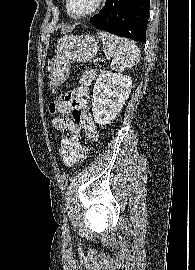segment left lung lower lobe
Wrapping results in <instances>:
<instances>
[{"instance_id":"left-lung-lower-lobe-1","label":"left lung lower lobe","mask_w":195,"mask_h":270,"mask_svg":"<svg viewBox=\"0 0 195 270\" xmlns=\"http://www.w3.org/2000/svg\"><path fill=\"white\" fill-rule=\"evenodd\" d=\"M149 7L150 0H107L90 22L115 35L145 42Z\"/></svg>"}]
</instances>
